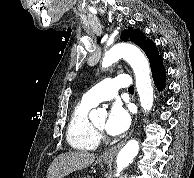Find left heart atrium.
<instances>
[{
  "label": "left heart atrium",
  "mask_w": 194,
  "mask_h": 178,
  "mask_svg": "<svg viewBox=\"0 0 194 178\" xmlns=\"http://www.w3.org/2000/svg\"><path fill=\"white\" fill-rule=\"evenodd\" d=\"M131 124V116L128 110L121 104H114L105 123V130L112 136L124 133Z\"/></svg>",
  "instance_id": "obj_1"
}]
</instances>
